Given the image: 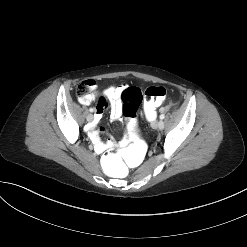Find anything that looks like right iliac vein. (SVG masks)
I'll return each instance as SVG.
<instances>
[{
    "label": "right iliac vein",
    "mask_w": 247,
    "mask_h": 247,
    "mask_svg": "<svg viewBox=\"0 0 247 247\" xmlns=\"http://www.w3.org/2000/svg\"><path fill=\"white\" fill-rule=\"evenodd\" d=\"M93 115L92 114H88L87 116H86V119H87V121H89V122H91L92 120H93Z\"/></svg>",
    "instance_id": "1"
}]
</instances>
